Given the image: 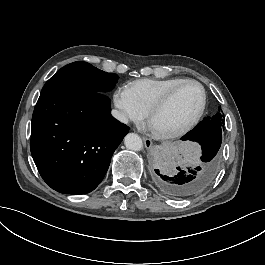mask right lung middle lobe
Here are the masks:
<instances>
[{
    "label": "right lung middle lobe",
    "mask_w": 265,
    "mask_h": 265,
    "mask_svg": "<svg viewBox=\"0 0 265 265\" xmlns=\"http://www.w3.org/2000/svg\"><path fill=\"white\" fill-rule=\"evenodd\" d=\"M118 76L86 62H73L61 68L44 85L42 92L106 93L114 88Z\"/></svg>",
    "instance_id": "dd1d6c3e"
}]
</instances>
